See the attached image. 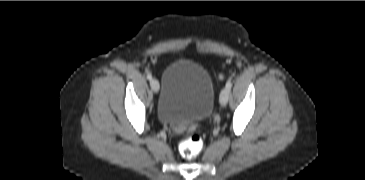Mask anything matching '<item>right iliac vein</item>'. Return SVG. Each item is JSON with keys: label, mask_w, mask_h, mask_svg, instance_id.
<instances>
[{"label": "right iliac vein", "mask_w": 365, "mask_h": 180, "mask_svg": "<svg viewBox=\"0 0 365 180\" xmlns=\"http://www.w3.org/2000/svg\"><path fill=\"white\" fill-rule=\"evenodd\" d=\"M150 85L154 92L157 93L159 91L160 86H159V82L156 79H151Z\"/></svg>", "instance_id": "right-iliac-vein-1"}]
</instances>
